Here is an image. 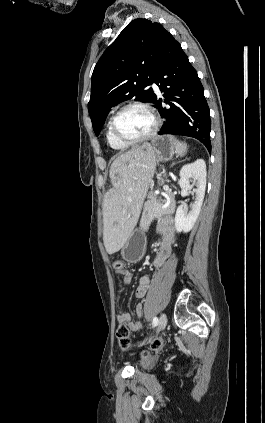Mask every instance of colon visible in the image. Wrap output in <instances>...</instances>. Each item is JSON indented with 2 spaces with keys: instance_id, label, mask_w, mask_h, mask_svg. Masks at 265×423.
<instances>
[{
  "instance_id": "obj_1",
  "label": "colon",
  "mask_w": 265,
  "mask_h": 423,
  "mask_svg": "<svg viewBox=\"0 0 265 423\" xmlns=\"http://www.w3.org/2000/svg\"><path fill=\"white\" fill-rule=\"evenodd\" d=\"M113 268L118 272L124 269V263L122 260L117 259L113 262ZM116 338L119 343V346L123 350H128L131 347L130 332L126 324L121 323L116 329ZM163 345L162 338L158 337L151 341L148 349H145L141 352V357L143 359H149L151 355L161 349Z\"/></svg>"
}]
</instances>
